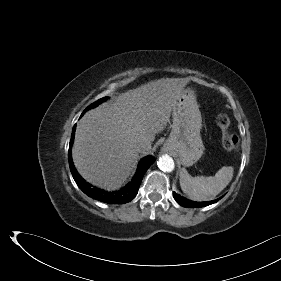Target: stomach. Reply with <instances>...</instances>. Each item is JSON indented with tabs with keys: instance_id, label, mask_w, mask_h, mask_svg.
<instances>
[{
	"instance_id": "1",
	"label": "stomach",
	"mask_w": 281,
	"mask_h": 281,
	"mask_svg": "<svg viewBox=\"0 0 281 281\" xmlns=\"http://www.w3.org/2000/svg\"><path fill=\"white\" fill-rule=\"evenodd\" d=\"M172 129L162 150L178 157L183 166L189 167L202 156V117L193 90L185 89L176 99L172 109Z\"/></svg>"
}]
</instances>
